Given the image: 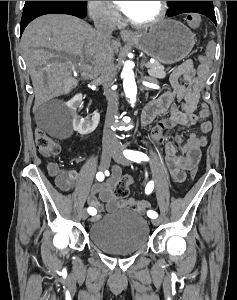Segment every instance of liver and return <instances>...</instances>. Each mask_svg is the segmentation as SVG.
<instances>
[{"label":"liver","instance_id":"6515ba94","mask_svg":"<svg viewBox=\"0 0 237 300\" xmlns=\"http://www.w3.org/2000/svg\"><path fill=\"white\" fill-rule=\"evenodd\" d=\"M99 41L91 25L71 15H43L32 21L22 35L21 49L36 101L59 93L62 78L71 75L68 65L72 63L76 69L88 71L92 79L97 77L101 69ZM111 47L118 53L117 41H111ZM84 59H90L93 67L84 65Z\"/></svg>","mask_w":237,"mask_h":300}]
</instances>
